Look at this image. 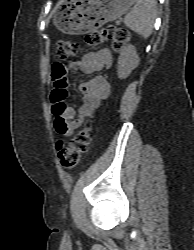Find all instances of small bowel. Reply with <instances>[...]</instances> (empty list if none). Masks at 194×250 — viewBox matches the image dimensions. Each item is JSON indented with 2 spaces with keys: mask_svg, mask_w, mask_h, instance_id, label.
<instances>
[{
  "mask_svg": "<svg viewBox=\"0 0 194 250\" xmlns=\"http://www.w3.org/2000/svg\"><path fill=\"white\" fill-rule=\"evenodd\" d=\"M112 63V53L109 49H100L95 52L85 53L80 60L70 64L56 63L53 66L54 90L67 92L66 74L70 71L79 70L85 74L110 67ZM83 93L82 103L78 108H73L65 104V100L59 102L60 109L53 110L55 115V130L64 137H70L73 133L89 121L100 101L110 93V85L104 76L98 75L91 80H83L79 84ZM68 94V92H67Z\"/></svg>",
  "mask_w": 194,
  "mask_h": 250,
  "instance_id": "obj_1",
  "label": "small bowel"
}]
</instances>
